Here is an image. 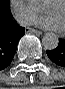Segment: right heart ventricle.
I'll return each mask as SVG.
<instances>
[{"instance_id":"e07e8e85","label":"right heart ventricle","mask_w":65,"mask_h":89,"mask_svg":"<svg viewBox=\"0 0 65 89\" xmlns=\"http://www.w3.org/2000/svg\"><path fill=\"white\" fill-rule=\"evenodd\" d=\"M40 5L45 4L48 0H36Z\"/></svg>"}]
</instances>
